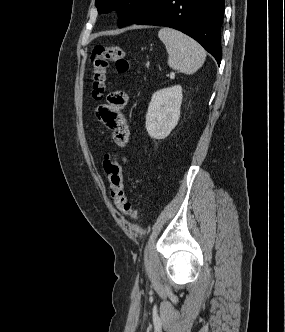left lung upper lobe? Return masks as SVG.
<instances>
[{
    "label": "left lung upper lobe",
    "instance_id": "1",
    "mask_svg": "<svg viewBox=\"0 0 285 332\" xmlns=\"http://www.w3.org/2000/svg\"><path fill=\"white\" fill-rule=\"evenodd\" d=\"M157 0H96L95 5L99 13H108L111 10H116L119 19V27H124L134 23Z\"/></svg>",
    "mask_w": 285,
    "mask_h": 332
}]
</instances>
